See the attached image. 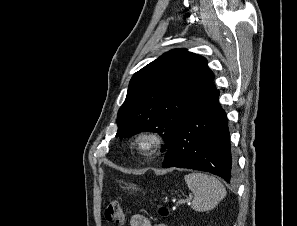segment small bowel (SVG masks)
Here are the masks:
<instances>
[{
	"label": "small bowel",
	"mask_w": 297,
	"mask_h": 226,
	"mask_svg": "<svg viewBox=\"0 0 297 226\" xmlns=\"http://www.w3.org/2000/svg\"><path fill=\"white\" fill-rule=\"evenodd\" d=\"M130 226H152L150 220L140 214H135L130 218ZM155 226H167L166 224H157Z\"/></svg>",
	"instance_id": "1"
}]
</instances>
